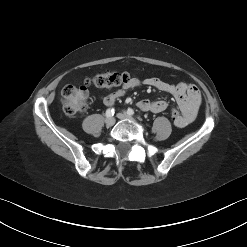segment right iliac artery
<instances>
[{
    "label": "right iliac artery",
    "mask_w": 247,
    "mask_h": 247,
    "mask_svg": "<svg viewBox=\"0 0 247 247\" xmlns=\"http://www.w3.org/2000/svg\"><path fill=\"white\" fill-rule=\"evenodd\" d=\"M114 115V109L113 108H109L106 110V116L107 117H111Z\"/></svg>",
    "instance_id": "obj_1"
}]
</instances>
